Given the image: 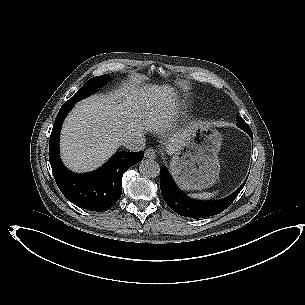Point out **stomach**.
Returning <instances> with one entry per match:
<instances>
[{
  "mask_svg": "<svg viewBox=\"0 0 305 305\" xmlns=\"http://www.w3.org/2000/svg\"><path fill=\"white\" fill-rule=\"evenodd\" d=\"M221 135L213 127L196 123L183 146L170 161V172L182 190H203L218 179Z\"/></svg>",
  "mask_w": 305,
  "mask_h": 305,
  "instance_id": "0dacf381",
  "label": "stomach"
}]
</instances>
